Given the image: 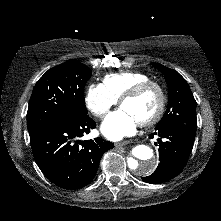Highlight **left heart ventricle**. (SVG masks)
Segmentation results:
<instances>
[{"mask_svg":"<svg viewBox=\"0 0 221 221\" xmlns=\"http://www.w3.org/2000/svg\"><path fill=\"white\" fill-rule=\"evenodd\" d=\"M159 94L155 88H149L136 98L126 100L122 108L130 112L139 122L151 117L157 110Z\"/></svg>","mask_w":221,"mask_h":221,"instance_id":"obj_1","label":"left heart ventricle"}]
</instances>
